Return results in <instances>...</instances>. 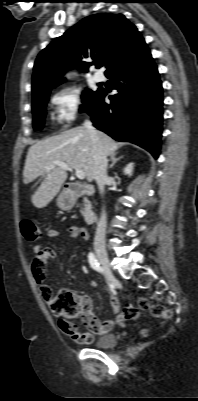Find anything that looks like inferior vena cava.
<instances>
[{
    "label": "inferior vena cava",
    "instance_id": "inferior-vena-cava-1",
    "mask_svg": "<svg viewBox=\"0 0 198 401\" xmlns=\"http://www.w3.org/2000/svg\"><path fill=\"white\" fill-rule=\"evenodd\" d=\"M83 127L87 129L90 138H91V146H92V154H93V165H94V179L98 185L99 191L101 194L104 193L105 184L107 181V165L108 160L105 152L103 151L102 144L97 135V131L92 126V123L89 120H85L83 123ZM106 226H107V216L106 212L103 209L100 219L97 223L96 233L94 237L95 245H104L105 244V234H106Z\"/></svg>",
    "mask_w": 198,
    "mask_h": 401
}]
</instances>
